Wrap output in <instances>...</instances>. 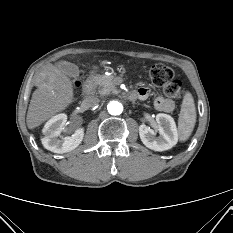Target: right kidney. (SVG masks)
<instances>
[{"label": "right kidney", "mask_w": 233, "mask_h": 233, "mask_svg": "<svg viewBox=\"0 0 233 233\" xmlns=\"http://www.w3.org/2000/svg\"><path fill=\"white\" fill-rule=\"evenodd\" d=\"M66 122L67 115L64 113L53 116L46 122L43 128L45 136L42 139V144L47 150L63 154L74 150L82 142L84 137L83 128H78L71 136L63 137L60 135Z\"/></svg>", "instance_id": "right-kidney-1"}]
</instances>
